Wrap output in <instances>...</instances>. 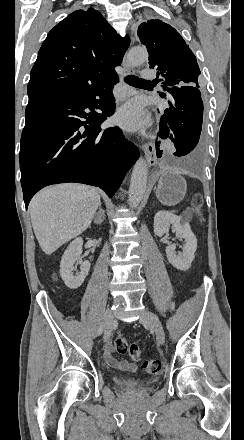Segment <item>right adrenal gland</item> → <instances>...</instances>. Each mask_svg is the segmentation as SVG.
<instances>
[{"label": "right adrenal gland", "instance_id": "1", "mask_svg": "<svg viewBox=\"0 0 244 440\" xmlns=\"http://www.w3.org/2000/svg\"><path fill=\"white\" fill-rule=\"evenodd\" d=\"M99 214H102V216H105V212L101 208V202H100V206H99V212H97V214H95V216H99Z\"/></svg>", "mask_w": 244, "mask_h": 440}]
</instances>
